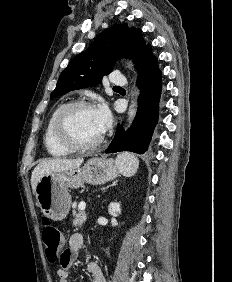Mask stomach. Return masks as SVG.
I'll return each instance as SVG.
<instances>
[{"label": "stomach", "instance_id": "0dacf381", "mask_svg": "<svg viewBox=\"0 0 232 282\" xmlns=\"http://www.w3.org/2000/svg\"><path fill=\"white\" fill-rule=\"evenodd\" d=\"M119 172L114 160L94 157L83 167L44 175L36 185L38 205L44 215L60 221L71 207L69 188L77 189L84 183L103 184L116 178Z\"/></svg>", "mask_w": 232, "mask_h": 282}]
</instances>
